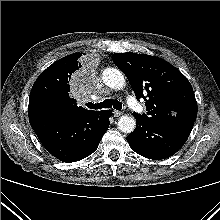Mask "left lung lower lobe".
I'll return each mask as SVG.
<instances>
[{
	"instance_id": "obj_1",
	"label": "left lung lower lobe",
	"mask_w": 220,
	"mask_h": 220,
	"mask_svg": "<svg viewBox=\"0 0 220 220\" xmlns=\"http://www.w3.org/2000/svg\"><path fill=\"white\" fill-rule=\"evenodd\" d=\"M134 116L136 128L126 140L133 151L154 160L165 159L175 154L186 142L194 124L183 119L152 122Z\"/></svg>"
}]
</instances>
